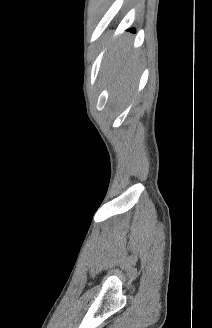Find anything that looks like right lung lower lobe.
Instances as JSON below:
<instances>
[{
  "mask_svg": "<svg viewBox=\"0 0 212 328\" xmlns=\"http://www.w3.org/2000/svg\"><path fill=\"white\" fill-rule=\"evenodd\" d=\"M131 31L135 32V30H134V29H131Z\"/></svg>",
  "mask_w": 212,
  "mask_h": 328,
  "instance_id": "right-lung-lower-lobe-1",
  "label": "right lung lower lobe"
}]
</instances>
